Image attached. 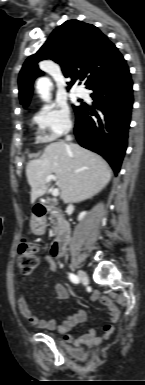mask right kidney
I'll return each mask as SVG.
<instances>
[{
  "instance_id": "right-kidney-1",
  "label": "right kidney",
  "mask_w": 145,
  "mask_h": 385,
  "mask_svg": "<svg viewBox=\"0 0 145 385\" xmlns=\"http://www.w3.org/2000/svg\"><path fill=\"white\" fill-rule=\"evenodd\" d=\"M85 215H86V212H85V211L81 212V213L79 214V216H78V220L81 221V220L84 218Z\"/></svg>"
}]
</instances>
